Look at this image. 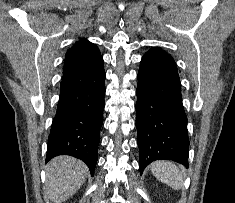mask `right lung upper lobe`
Returning a JSON list of instances; mask_svg holds the SVG:
<instances>
[{
  "label": "right lung upper lobe",
  "instance_id": "obj_1",
  "mask_svg": "<svg viewBox=\"0 0 235 203\" xmlns=\"http://www.w3.org/2000/svg\"><path fill=\"white\" fill-rule=\"evenodd\" d=\"M100 56L98 47L86 39L77 41L66 55L63 75L70 74Z\"/></svg>",
  "mask_w": 235,
  "mask_h": 203
}]
</instances>
